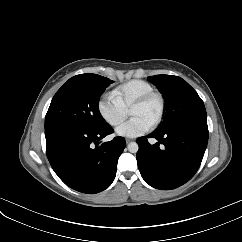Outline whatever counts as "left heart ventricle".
I'll return each instance as SVG.
<instances>
[{"mask_svg":"<svg viewBox=\"0 0 242 242\" xmlns=\"http://www.w3.org/2000/svg\"><path fill=\"white\" fill-rule=\"evenodd\" d=\"M159 113V101L152 99L143 106L135 107L130 111L132 117H139L150 125L156 120Z\"/></svg>","mask_w":242,"mask_h":242,"instance_id":"1","label":"left heart ventricle"}]
</instances>
